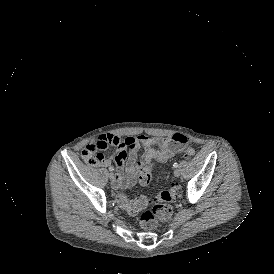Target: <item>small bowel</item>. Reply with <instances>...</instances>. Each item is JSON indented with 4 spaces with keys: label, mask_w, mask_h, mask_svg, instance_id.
Here are the masks:
<instances>
[{
    "label": "small bowel",
    "mask_w": 274,
    "mask_h": 274,
    "mask_svg": "<svg viewBox=\"0 0 274 274\" xmlns=\"http://www.w3.org/2000/svg\"><path fill=\"white\" fill-rule=\"evenodd\" d=\"M179 144L188 146V140L183 134L171 137H149L140 134L123 140L106 134L88 145L82 152V158L90 166L109 167L114 162L113 186L129 188L136 183L137 176L144 167L153 161L165 162L177 152ZM110 145L117 147L113 159L106 158L101 152ZM140 148L144 149L141 157L138 152Z\"/></svg>",
    "instance_id": "small-bowel-1"
}]
</instances>
